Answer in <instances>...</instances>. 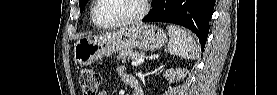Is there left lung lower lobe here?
<instances>
[{
	"instance_id": "1",
	"label": "left lung lower lobe",
	"mask_w": 277,
	"mask_h": 95,
	"mask_svg": "<svg viewBox=\"0 0 277 95\" xmlns=\"http://www.w3.org/2000/svg\"><path fill=\"white\" fill-rule=\"evenodd\" d=\"M215 0H155L144 22H169L182 25L199 38L203 51L209 33V19Z\"/></svg>"
}]
</instances>
